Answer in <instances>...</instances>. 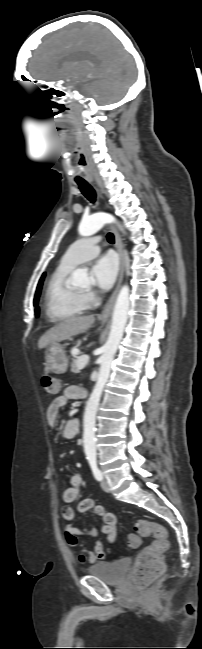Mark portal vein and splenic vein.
<instances>
[{
	"label": "portal vein and splenic vein",
	"instance_id": "obj_1",
	"mask_svg": "<svg viewBox=\"0 0 202 649\" xmlns=\"http://www.w3.org/2000/svg\"><path fill=\"white\" fill-rule=\"evenodd\" d=\"M89 361V356L83 355L79 357L78 359V368L79 369H84L85 366L88 364Z\"/></svg>",
	"mask_w": 202,
	"mask_h": 649
}]
</instances>
